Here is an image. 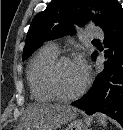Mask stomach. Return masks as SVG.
<instances>
[{"label":"stomach","mask_w":123,"mask_h":130,"mask_svg":"<svg viewBox=\"0 0 123 130\" xmlns=\"http://www.w3.org/2000/svg\"><path fill=\"white\" fill-rule=\"evenodd\" d=\"M65 130H87V126L81 120H74L68 124Z\"/></svg>","instance_id":"obj_1"}]
</instances>
